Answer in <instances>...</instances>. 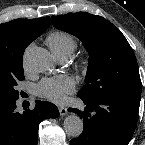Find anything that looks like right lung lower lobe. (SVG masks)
Wrapping results in <instances>:
<instances>
[{
  "mask_svg": "<svg viewBox=\"0 0 145 145\" xmlns=\"http://www.w3.org/2000/svg\"><path fill=\"white\" fill-rule=\"evenodd\" d=\"M56 105L36 100L33 110L16 111L15 101H0V145H37L38 124L45 118H57Z\"/></svg>",
  "mask_w": 145,
  "mask_h": 145,
  "instance_id": "obj_1",
  "label": "right lung lower lobe"
}]
</instances>
